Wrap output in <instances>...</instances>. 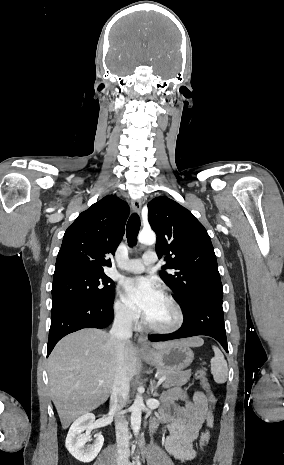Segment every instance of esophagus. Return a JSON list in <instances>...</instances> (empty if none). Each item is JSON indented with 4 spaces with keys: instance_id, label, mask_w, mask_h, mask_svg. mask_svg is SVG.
<instances>
[{
    "instance_id": "esophagus-1",
    "label": "esophagus",
    "mask_w": 284,
    "mask_h": 465,
    "mask_svg": "<svg viewBox=\"0 0 284 465\" xmlns=\"http://www.w3.org/2000/svg\"><path fill=\"white\" fill-rule=\"evenodd\" d=\"M131 207H132V210L136 213H139L140 210H141V207H142V203H141V200L139 198H133L131 200ZM138 342L140 343L141 347L142 348H145L146 347V338L143 336V335H140L138 337Z\"/></svg>"
}]
</instances>
